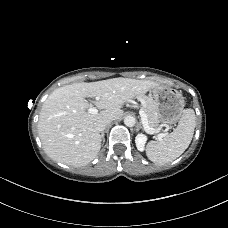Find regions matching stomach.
Returning <instances> with one entry per match:
<instances>
[{
  "label": "stomach",
  "mask_w": 228,
  "mask_h": 228,
  "mask_svg": "<svg viewBox=\"0 0 228 228\" xmlns=\"http://www.w3.org/2000/svg\"><path fill=\"white\" fill-rule=\"evenodd\" d=\"M149 98L155 105L160 122L164 125H174L182 116L185 106L184 97L175 89L158 86L150 89Z\"/></svg>",
  "instance_id": "0dacf381"
}]
</instances>
